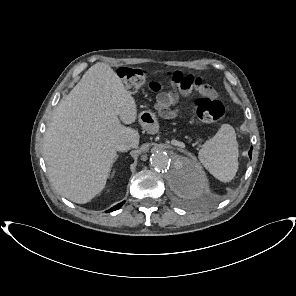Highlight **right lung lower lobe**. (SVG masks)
Returning <instances> with one entry per match:
<instances>
[{
  "mask_svg": "<svg viewBox=\"0 0 296 296\" xmlns=\"http://www.w3.org/2000/svg\"><path fill=\"white\" fill-rule=\"evenodd\" d=\"M123 204H124V202H121L120 204H117L116 206L112 207L111 209H109V210L106 211V212H112V211H115V210L119 209Z\"/></svg>",
  "mask_w": 296,
  "mask_h": 296,
  "instance_id": "1",
  "label": "right lung lower lobe"
}]
</instances>
